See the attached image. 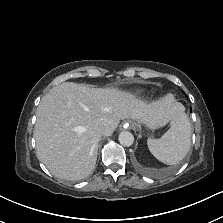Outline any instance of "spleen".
<instances>
[{
    "instance_id": "1",
    "label": "spleen",
    "mask_w": 223,
    "mask_h": 223,
    "mask_svg": "<svg viewBox=\"0 0 223 223\" xmlns=\"http://www.w3.org/2000/svg\"><path fill=\"white\" fill-rule=\"evenodd\" d=\"M151 154L167 165L179 163L191 147V123L184 112L177 114L170 129L161 138H148Z\"/></svg>"
}]
</instances>
